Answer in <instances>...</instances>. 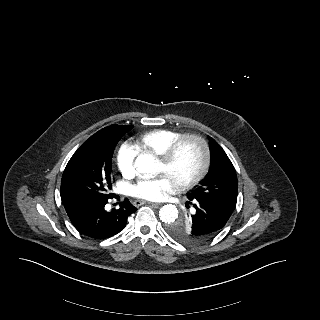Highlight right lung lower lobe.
<instances>
[{
	"mask_svg": "<svg viewBox=\"0 0 320 320\" xmlns=\"http://www.w3.org/2000/svg\"><path fill=\"white\" fill-rule=\"evenodd\" d=\"M108 199H64L63 204L72 224L82 235L106 239L122 231L128 217L137 210L125 199L119 209L106 211Z\"/></svg>",
	"mask_w": 320,
	"mask_h": 320,
	"instance_id": "1",
	"label": "right lung lower lobe"
}]
</instances>
